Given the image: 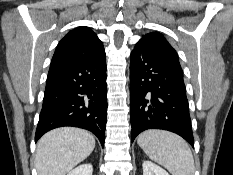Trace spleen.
I'll use <instances>...</instances> for the list:
<instances>
[{
    "mask_svg": "<svg viewBox=\"0 0 233 175\" xmlns=\"http://www.w3.org/2000/svg\"><path fill=\"white\" fill-rule=\"evenodd\" d=\"M137 143L151 160L172 175H194L192 152L180 136L163 130H146L138 136Z\"/></svg>",
    "mask_w": 233,
    "mask_h": 175,
    "instance_id": "1",
    "label": "spleen"
}]
</instances>
